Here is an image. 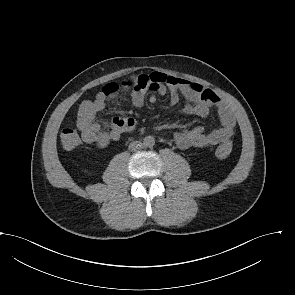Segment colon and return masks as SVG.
<instances>
[{"label":"colon","instance_id":"5ec220e1","mask_svg":"<svg viewBox=\"0 0 295 295\" xmlns=\"http://www.w3.org/2000/svg\"><path fill=\"white\" fill-rule=\"evenodd\" d=\"M118 89L119 87L117 84H109V85H106L102 91L105 92L106 94H110V93L118 91ZM60 139H61L62 145L67 150H72L76 148L81 142V137L78 130L73 127H66L62 129L60 134ZM232 149H233V144L231 140L229 139L224 141L218 146L216 150V154L217 156L221 158H225L231 154Z\"/></svg>","mask_w":295,"mask_h":295}]
</instances>
